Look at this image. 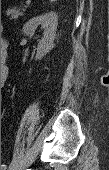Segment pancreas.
Segmentation results:
<instances>
[{
    "label": "pancreas",
    "mask_w": 109,
    "mask_h": 170,
    "mask_svg": "<svg viewBox=\"0 0 109 170\" xmlns=\"http://www.w3.org/2000/svg\"><path fill=\"white\" fill-rule=\"evenodd\" d=\"M6 14L10 17V19H16L17 17L22 16L23 13L20 11V9L13 8V9H8L6 11Z\"/></svg>",
    "instance_id": "cf45deb5"
}]
</instances>
